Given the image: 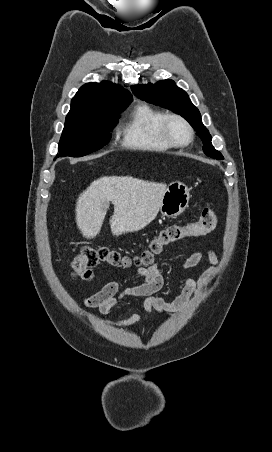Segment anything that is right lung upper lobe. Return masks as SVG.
Wrapping results in <instances>:
<instances>
[{"instance_id":"obj_1","label":"right lung upper lobe","mask_w":272,"mask_h":452,"mask_svg":"<svg viewBox=\"0 0 272 452\" xmlns=\"http://www.w3.org/2000/svg\"><path fill=\"white\" fill-rule=\"evenodd\" d=\"M132 101V95L123 87L111 82L87 83L71 101L66 120L92 116L103 109Z\"/></svg>"}]
</instances>
